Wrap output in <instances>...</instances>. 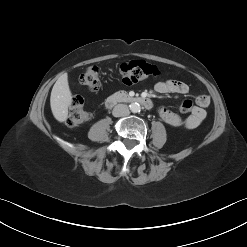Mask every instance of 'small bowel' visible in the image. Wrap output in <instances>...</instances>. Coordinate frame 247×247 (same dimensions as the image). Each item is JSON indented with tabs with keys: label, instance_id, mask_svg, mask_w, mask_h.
Listing matches in <instances>:
<instances>
[{
	"label": "small bowel",
	"instance_id": "1",
	"mask_svg": "<svg viewBox=\"0 0 247 247\" xmlns=\"http://www.w3.org/2000/svg\"><path fill=\"white\" fill-rule=\"evenodd\" d=\"M154 90L159 94H187L189 92V86L182 81L166 80L156 83ZM195 101L196 106L191 110L190 114L185 119L165 107L159 108L158 114L160 118L170 126L194 129L198 127L206 118L205 109L210 105V97L202 94L197 96Z\"/></svg>",
	"mask_w": 247,
	"mask_h": 247
}]
</instances>
